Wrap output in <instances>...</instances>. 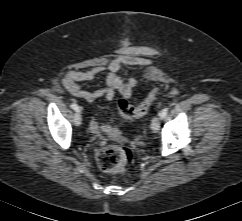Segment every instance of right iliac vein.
Returning <instances> with one entry per match:
<instances>
[{"label": "right iliac vein", "mask_w": 242, "mask_h": 221, "mask_svg": "<svg viewBox=\"0 0 242 221\" xmlns=\"http://www.w3.org/2000/svg\"><path fill=\"white\" fill-rule=\"evenodd\" d=\"M74 123L75 125L79 126L82 123V116L80 113H76L74 116Z\"/></svg>", "instance_id": "right-iliac-vein-1"}]
</instances>
